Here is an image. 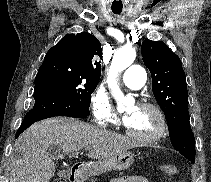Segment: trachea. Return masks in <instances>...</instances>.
I'll use <instances>...</instances> for the list:
<instances>
[{
    "label": "trachea",
    "instance_id": "obj_1",
    "mask_svg": "<svg viewBox=\"0 0 211 182\" xmlns=\"http://www.w3.org/2000/svg\"><path fill=\"white\" fill-rule=\"evenodd\" d=\"M114 14H120L121 11H113Z\"/></svg>",
    "mask_w": 211,
    "mask_h": 182
}]
</instances>
